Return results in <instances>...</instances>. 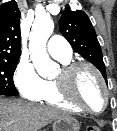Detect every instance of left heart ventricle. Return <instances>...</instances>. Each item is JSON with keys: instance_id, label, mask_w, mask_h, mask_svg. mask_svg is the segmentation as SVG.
<instances>
[{"instance_id": "obj_1", "label": "left heart ventricle", "mask_w": 117, "mask_h": 131, "mask_svg": "<svg viewBox=\"0 0 117 131\" xmlns=\"http://www.w3.org/2000/svg\"><path fill=\"white\" fill-rule=\"evenodd\" d=\"M73 90L76 97L90 109L99 111L103 107L104 96L101 86L90 70L81 69L77 72Z\"/></svg>"}]
</instances>
